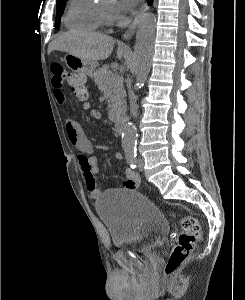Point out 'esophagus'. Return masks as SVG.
I'll return each instance as SVG.
<instances>
[{"mask_svg":"<svg viewBox=\"0 0 245 300\" xmlns=\"http://www.w3.org/2000/svg\"><path fill=\"white\" fill-rule=\"evenodd\" d=\"M147 9H148L147 3H144V4L141 5V7L139 8L134 20L129 25V27L126 29V31L123 33V35H122L123 39L128 40L134 35V33L136 31V28H137L143 14L145 13V11Z\"/></svg>","mask_w":245,"mask_h":300,"instance_id":"esophagus-1","label":"esophagus"}]
</instances>
